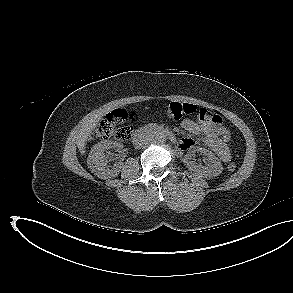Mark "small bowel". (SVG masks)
Segmentation results:
<instances>
[{
	"mask_svg": "<svg viewBox=\"0 0 293 293\" xmlns=\"http://www.w3.org/2000/svg\"><path fill=\"white\" fill-rule=\"evenodd\" d=\"M181 125L186 131L200 136L221 161L228 162L230 160L231 154L228 141L222 138V129L218 125L204 120L195 122L190 119L183 120ZM193 145L194 140L190 138H184L179 142L181 150H187Z\"/></svg>",
	"mask_w": 293,
	"mask_h": 293,
	"instance_id": "c3829d8e",
	"label": "small bowel"
}]
</instances>
